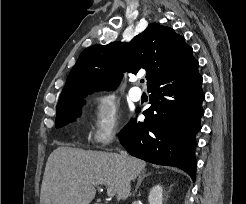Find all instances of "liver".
I'll return each mask as SVG.
<instances>
[{"instance_id":"liver-1","label":"liver","mask_w":246,"mask_h":204,"mask_svg":"<svg viewBox=\"0 0 246 204\" xmlns=\"http://www.w3.org/2000/svg\"><path fill=\"white\" fill-rule=\"evenodd\" d=\"M145 166L130 155L58 147L46 162L40 204H90L97 185L113 187L117 200H126L131 181Z\"/></svg>"}]
</instances>
